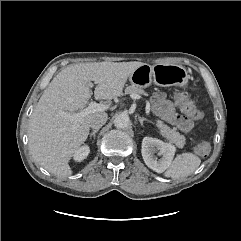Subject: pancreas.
Instances as JSON below:
<instances>
[{
	"label": "pancreas",
	"mask_w": 241,
	"mask_h": 241,
	"mask_svg": "<svg viewBox=\"0 0 241 241\" xmlns=\"http://www.w3.org/2000/svg\"><path fill=\"white\" fill-rule=\"evenodd\" d=\"M125 94H139V95H147V93L137 85L128 86L125 89ZM156 126L160 131V134L168 139L171 142H174L179 148H182L185 144V137L181 135L179 132L171 129L168 125H166L161 120H156Z\"/></svg>",
	"instance_id": "pancreas-1"
}]
</instances>
